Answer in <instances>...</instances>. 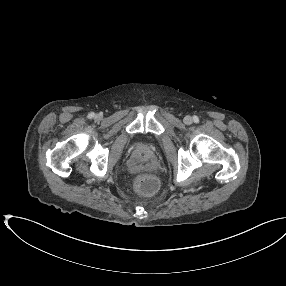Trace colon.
I'll list each match as a JSON object with an SVG mask.
<instances>
[{"mask_svg": "<svg viewBox=\"0 0 286 286\" xmlns=\"http://www.w3.org/2000/svg\"><path fill=\"white\" fill-rule=\"evenodd\" d=\"M158 188L157 180L151 175H141L136 182V189L138 192L150 195L153 194Z\"/></svg>", "mask_w": 286, "mask_h": 286, "instance_id": "5ec220e1", "label": "colon"}]
</instances>
